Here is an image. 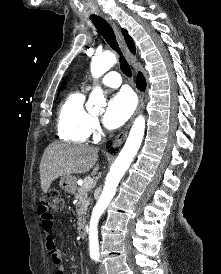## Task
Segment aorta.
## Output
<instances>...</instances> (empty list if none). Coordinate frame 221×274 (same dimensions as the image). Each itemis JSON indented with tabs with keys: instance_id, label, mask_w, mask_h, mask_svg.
<instances>
[{
	"instance_id": "obj_1",
	"label": "aorta",
	"mask_w": 221,
	"mask_h": 274,
	"mask_svg": "<svg viewBox=\"0 0 221 274\" xmlns=\"http://www.w3.org/2000/svg\"><path fill=\"white\" fill-rule=\"evenodd\" d=\"M116 63V56L108 53L94 57L91 61V73L94 78H99ZM105 102L101 88L96 87L89 96L88 104L103 105ZM145 131V117L139 115L130 130L127 141L113 163L108 173L100 198L98 199L90 219L89 225V250L91 254L99 253L98 222L104 210L115 195L116 188L121 178L133 161L143 140Z\"/></svg>"
}]
</instances>
